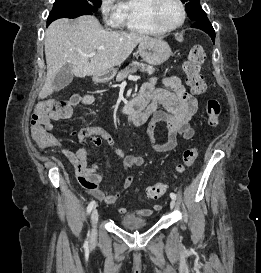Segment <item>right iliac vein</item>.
Returning <instances> with one entry per match:
<instances>
[{
  "instance_id": "right-iliac-vein-1",
  "label": "right iliac vein",
  "mask_w": 261,
  "mask_h": 273,
  "mask_svg": "<svg viewBox=\"0 0 261 273\" xmlns=\"http://www.w3.org/2000/svg\"><path fill=\"white\" fill-rule=\"evenodd\" d=\"M98 217H99L98 210L97 208H94L91 215V221H92L91 238H94L96 236V227H97Z\"/></svg>"
}]
</instances>
